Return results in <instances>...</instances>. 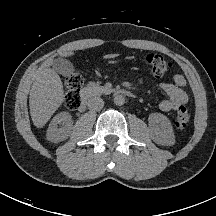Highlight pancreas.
Instances as JSON below:
<instances>
[{"instance_id":"pancreas-1","label":"pancreas","mask_w":216,"mask_h":216,"mask_svg":"<svg viewBox=\"0 0 216 216\" xmlns=\"http://www.w3.org/2000/svg\"><path fill=\"white\" fill-rule=\"evenodd\" d=\"M87 88L89 89L90 93L92 95H101V94H108L110 93L112 90L111 89H108L104 86H100L96 83H89L87 85Z\"/></svg>"}]
</instances>
